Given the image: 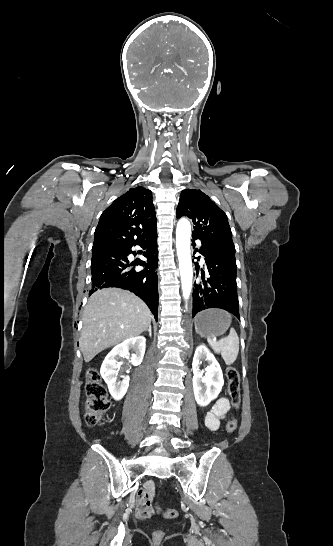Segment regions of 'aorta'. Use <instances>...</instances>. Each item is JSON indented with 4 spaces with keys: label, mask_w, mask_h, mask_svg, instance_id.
<instances>
[{
    "label": "aorta",
    "mask_w": 333,
    "mask_h": 546,
    "mask_svg": "<svg viewBox=\"0 0 333 546\" xmlns=\"http://www.w3.org/2000/svg\"><path fill=\"white\" fill-rule=\"evenodd\" d=\"M190 222L182 218L178 221L176 229V248L179 260V269L181 275V286L183 297L188 299L192 289V261L190 255Z\"/></svg>",
    "instance_id": "1"
}]
</instances>
